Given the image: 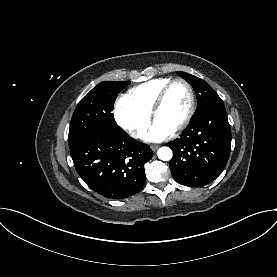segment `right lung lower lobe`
Here are the masks:
<instances>
[{
    "instance_id": "right-lung-lower-lobe-1",
    "label": "right lung lower lobe",
    "mask_w": 277,
    "mask_h": 277,
    "mask_svg": "<svg viewBox=\"0 0 277 277\" xmlns=\"http://www.w3.org/2000/svg\"><path fill=\"white\" fill-rule=\"evenodd\" d=\"M79 176L90 188L111 199L138 193L145 184L144 164L153 152L125 131H95L70 146Z\"/></svg>"
}]
</instances>
